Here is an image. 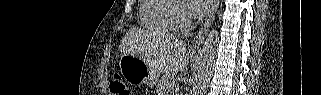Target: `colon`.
I'll return each mask as SVG.
<instances>
[{"instance_id":"1","label":"colon","mask_w":321,"mask_h":95,"mask_svg":"<svg viewBox=\"0 0 321 95\" xmlns=\"http://www.w3.org/2000/svg\"><path fill=\"white\" fill-rule=\"evenodd\" d=\"M110 90L114 94L129 95V89L119 75H114L110 80Z\"/></svg>"}]
</instances>
